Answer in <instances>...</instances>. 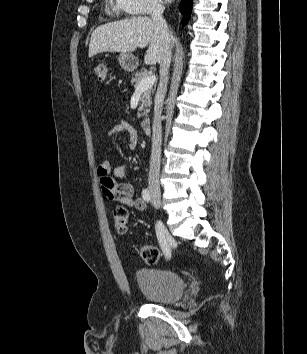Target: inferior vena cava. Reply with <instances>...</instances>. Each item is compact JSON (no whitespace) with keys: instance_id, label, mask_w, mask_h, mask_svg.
<instances>
[{"instance_id":"inferior-vena-cava-1","label":"inferior vena cava","mask_w":307,"mask_h":354,"mask_svg":"<svg viewBox=\"0 0 307 354\" xmlns=\"http://www.w3.org/2000/svg\"><path fill=\"white\" fill-rule=\"evenodd\" d=\"M164 7L161 4H155L151 8V19L161 34L164 52L160 62V83L155 96L154 118L152 126V152L149 171V190L151 193H160L159 173L162 145V127L161 114L163 101L167 91L168 74L171 63V50L173 45V36L169 32L167 23L163 18Z\"/></svg>"}]
</instances>
